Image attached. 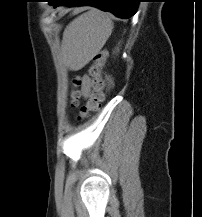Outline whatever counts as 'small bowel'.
<instances>
[{"mask_svg":"<svg viewBox=\"0 0 202 217\" xmlns=\"http://www.w3.org/2000/svg\"><path fill=\"white\" fill-rule=\"evenodd\" d=\"M91 91V83L90 79L88 76L83 77L82 79V86H81V94L85 97L88 98L90 95Z\"/></svg>","mask_w":202,"mask_h":217,"instance_id":"c3829d8e","label":"small bowel"}]
</instances>
